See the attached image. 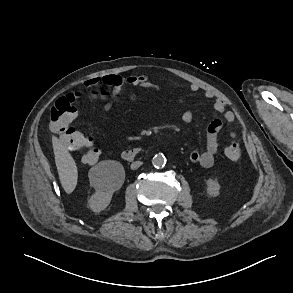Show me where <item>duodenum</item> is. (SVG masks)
<instances>
[{
  "label": "duodenum",
  "instance_id": "410a0bca",
  "mask_svg": "<svg viewBox=\"0 0 293 293\" xmlns=\"http://www.w3.org/2000/svg\"><path fill=\"white\" fill-rule=\"evenodd\" d=\"M140 153L139 148L127 149L121 153V157L125 161H133Z\"/></svg>",
  "mask_w": 293,
  "mask_h": 293
}]
</instances>
